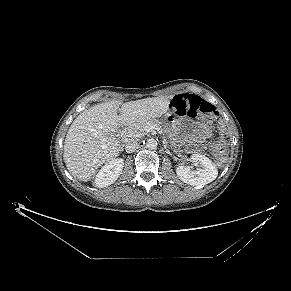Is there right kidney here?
<instances>
[{
    "mask_svg": "<svg viewBox=\"0 0 291 291\" xmlns=\"http://www.w3.org/2000/svg\"><path fill=\"white\" fill-rule=\"evenodd\" d=\"M123 167L124 160L122 158H117L109 161L100 169V171L96 175V186L103 188L113 184L122 173Z\"/></svg>",
    "mask_w": 291,
    "mask_h": 291,
    "instance_id": "1",
    "label": "right kidney"
}]
</instances>
